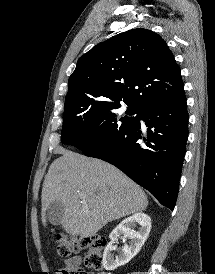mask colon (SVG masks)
I'll list each match as a JSON object with an SVG mask.
<instances>
[{
  "label": "colon",
  "mask_w": 215,
  "mask_h": 274,
  "mask_svg": "<svg viewBox=\"0 0 215 274\" xmlns=\"http://www.w3.org/2000/svg\"><path fill=\"white\" fill-rule=\"evenodd\" d=\"M106 246L105 238L94 235L87 238L68 239L65 235L58 236L57 251L60 256L68 257L72 253L87 249L85 263L88 268L99 271L103 267V251ZM76 274H94L79 270Z\"/></svg>",
  "instance_id": "1"
}]
</instances>
